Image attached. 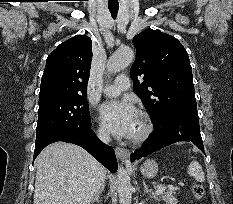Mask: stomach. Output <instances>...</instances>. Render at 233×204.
I'll use <instances>...</instances> for the list:
<instances>
[{"label":"stomach","instance_id":"0dacf381","mask_svg":"<svg viewBox=\"0 0 233 204\" xmlns=\"http://www.w3.org/2000/svg\"><path fill=\"white\" fill-rule=\"evenodd\" d=\"M158 165L153 160H147L141 167V172L145 177L151 178L157 174Z\"/></svg>","mask_w":233,"mask_h":204}]
</instances>
